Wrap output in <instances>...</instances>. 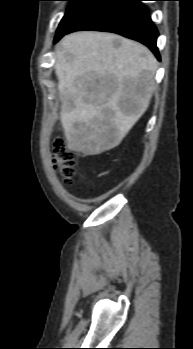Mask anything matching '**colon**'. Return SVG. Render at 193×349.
I'll return each instance as SVG.
<instances>
[{"label": "colon", "instance_id": "colon-1", "mask_svg": "<svg viewBox=\"0 0 193 349\" xmlns=\"http://www.w3.org/2000/svg\"><path fill=\"white\" fill-rule=\"evenodd\" d=\"M54 167L61 174L66 185H70L75 174V157L63 139H55L52 146Z\"/></svg>", "mask_w": 193, "mask_h": 349}]
</instances>
